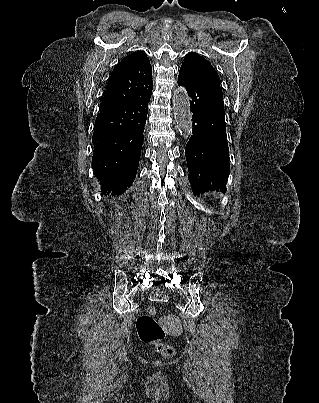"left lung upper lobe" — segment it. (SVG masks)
Listing matches in <instances>:
<instances>
[{
  "instance_id": "5c2ea615",
  "label": "left lung upper lobe",
  "mask_w": 319,
  "mask_h": 403,
  "mask_svg": "<svg viewBox=\"0 0 319 403\" xmlns=\"http://www.w3.org/2000/svg\"><path fill=\"white\" fill-rule=\"evenodd\" d=\"M181 68L201 80L220 85V78L211 63L195 52L185 56Z\"/></svg>"
}]
</instances>
